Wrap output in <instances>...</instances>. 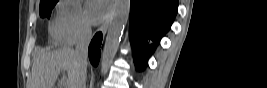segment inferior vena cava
Here are the masks:
<instances>
[{
    "label": "inferior vena cava",
    "instance_id": "602c4592",
    "mask_svg": "<svg viewBox=\"0 0 267 88\" xmlns=\"http://www.w3.org/2000/svg\"><path fill=\"white\" fill-rule=\"evenodd\" d=\"M91 34V26L85 25L76 42L74 52L79 62V71L75 88H86L87 55Z\"/></svg>",
    "mask_w": 267,
    "mask_h": 88
}]
</instances>
